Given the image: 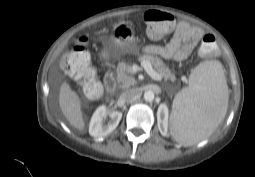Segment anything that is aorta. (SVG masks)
<instances>
[{
	"instance_id": "aorta-1",
	"label": "aorta",
	"mask_w": 255,
	"mask_h": 177,
	"mask_svg": "<svg viewBox=\"0 0 255 177\" xmlns=\"http://www.w3.org/2000/svg\"><path fill=\"white\" fill-rule=\"evenodd\" d=\"M155 98L154 92L151 90H148L144 93V99L147 102H152Z\"/></svg>"
}]
</instances>
